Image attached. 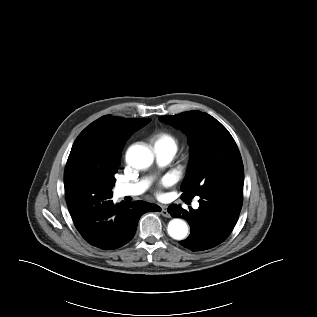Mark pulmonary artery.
<instances>
[{
	"label": "pulmonary artery",
	"mask_w": 317,
	"mask_h": 317,
	"mask_svg": "<svg viewBox=\"0 0 317 317\" xmlns=\"http://www.w3.org/2000/svg\"><path fill=\"white\" fill-rule=\"evenodd\" d=\"M157 161L160 164H166L172 160L175 155L174 149L154 147ZM148 180H141L135 183L119 184L115 192L118 197L137 196L143 193L148 187ZM194 207H198V202H194Z\"/></svg>",
	"instance_id": "pulmonary-artery-1"
}]
</instances>
